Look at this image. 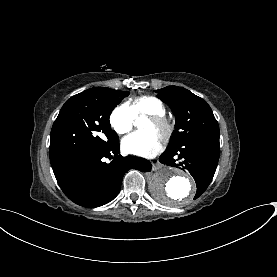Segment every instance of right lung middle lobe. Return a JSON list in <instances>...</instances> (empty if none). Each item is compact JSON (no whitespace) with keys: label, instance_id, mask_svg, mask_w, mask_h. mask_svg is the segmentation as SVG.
I'll use <instances>...</instances> for the list:
<instances>
[{"label":"right lung middle lobe","instance_id":"obj_1","mask_svg":"<svg viewBox=\"0 0 277 277\" xmlns=\"http://www.w3.org/2000/svg\"><path fill=\"white\" fill-rule=\"evenodd\" d=\"M127 91L96 87L66 101L51 130L50 161L82 150H102L118 143L109 117Z\"/></svg>","mask_w":277,"mask_h":277}]
</instances>
